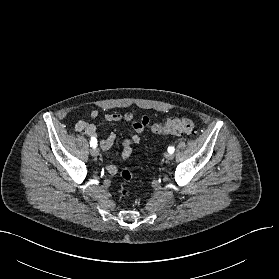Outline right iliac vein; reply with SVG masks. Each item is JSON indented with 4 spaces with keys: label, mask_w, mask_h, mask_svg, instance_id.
<instances>
[{
    "label": "right iliac vein",
    "mask_w": 279,
    "mask_h": 279,
    "mask_svg": "<svg viewBox=\"0 0 279 279\" xmlns=\"http://www.w3.org/2000/svg\"><path fill=\"white\" fill-rule=\"evenodd\" d=\"M91 155L92 156H98L99 155V150L95 147L91 149Z\"/></svg>",
    "instance_id": "obj_1"
}]
</instances>
